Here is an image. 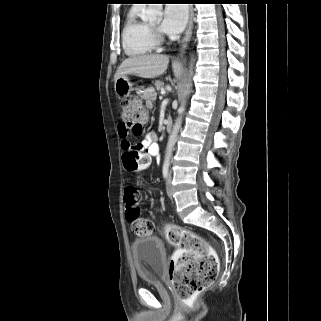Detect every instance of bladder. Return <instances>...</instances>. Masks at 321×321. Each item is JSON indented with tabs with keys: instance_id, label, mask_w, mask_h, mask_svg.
Listing matches in <instances>:
<instances>
[{
	"instance_id": "31cf9c89",
	"label": "bladder",
	"mask_w": 321,
	"mask_h": 321,
	"mask_svg": "<svg viewBox=\"0 0 321 321\" xmlns=\"http://www.w3.org/2000/svg\"><path fill=\"white\" fill-rule=\"evenodd\" d=\"M139 278L147 284L160 283L163 279L166 251L162 240L155 236L135 239L131 244Z\"/></svg>"
}]
</instances>
